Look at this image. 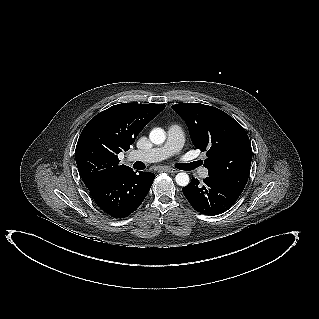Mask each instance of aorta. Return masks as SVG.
Segmentation results:
<instances>
[{
    "label": "aorta",
    "instance_id": "762f6f07",
    "mask_svg": "<svg viewBox=\"0 0 319 319\" xmlns=\"http://www.w3.org/2000/svg\"><path fill=\"white\" fill-rule=\"evenodd\" d=\"M150 141L154 144L160 145L166 139L165 131L162 128H154L149 135ZM176 183L179 186H187L189 184V176L185 172H180L175 177Z\"/></svg>",
    "mask_w": 319,
    "mask_h": 319
}]
</instances>
